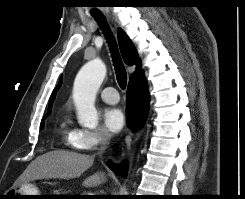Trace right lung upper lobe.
<instances>
[{"instance_id": "cb5924a9", "label": "right lung upper lobe", "mask_w": 245, "mask_h": 199, "mask_svg": "<svg viewBox=\"0 0 245 199\" xmlns=\"http://www.w3.org/2000/svg\"><path fill=\"white\" fill-rule=\"evenodd\" d=\"M118 41H119L121 54H122V57H123L125 63L129 66L137 64L136 69L138 72H135L134 74L131 75L129 83L145 81L142 73L139 72L140 71V65L138 63V55H137L136 49H135L133 43L131 42V40L129 39V37L127 36V34L121 28L118 29ZM61 83H62V80L59 81L57 87L54 89V91L52 93V96H51L50 101H49V111L45 116H47L51 113L50 109H51L52 104L54 102L56 91L61 86Z\"/></svg>"}]
</instances>
